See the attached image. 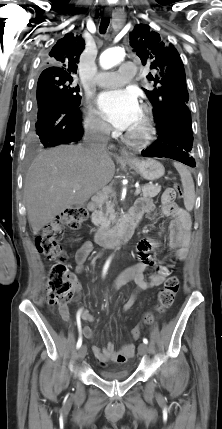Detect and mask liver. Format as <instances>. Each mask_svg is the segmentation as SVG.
<instances>
[{"label": "liver", "mask_w": 222, "mask_h": 429, "mask_svg": "<svg viewBox=\"0 0 222 429\" xmlns=\"http://www.w3.org/2000/svg\"><path fill=\"white\" fill-rule=\"evenodd\" d=\"M114 173L115 164L107 150L92 153L83 146H59L42 151L29 167L24 185L33 234L64 210L86 203Z\"/></svg>", "instance_id": "obj_1"}]
</instances>
